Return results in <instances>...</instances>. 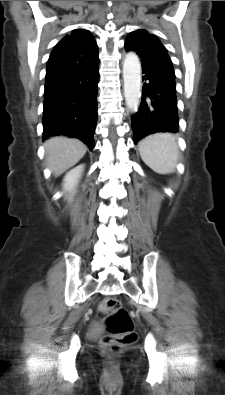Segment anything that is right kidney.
I'll return each instance as SVG.
<instances>
[{"label":"right kidney","instance_id":"obj_1","mask_svg":"<svg viewBox=\"0 0 225 395\" xmlns=\"http://www.w3.org/2000/svg\"><path fill=\"white\" fill-rule=\"evenodd\" d=\"M84 165H79L76 168L70 170L64 177L63 186L68 192H73L81 178Z\"/></svg>","mask_w":225,"mask_h":395}]
</instances>
